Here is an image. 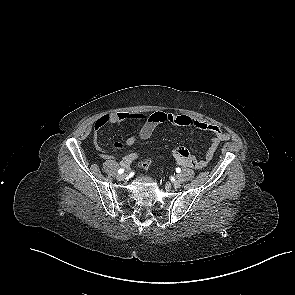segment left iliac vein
Listing matches in <instances>:
<instances>
[{
  "label": "left iliac vein",
  "instance_id": "4c4485c4",
  "mask_svg": "<svg viewBox=\"0 0 295 295\" xmlns=\"http://www.w3.org/2000/svg\"><path fill=\"white\" fill-rule=\"evenodd\" d=\"M172 184H173V186L175 187V188H179L180 186H181V180L177 177V179L176 180H174L173 182H172Z\"/></svg>",
  "mask_w": 295,
  "mask_h": 295
}]
</instances>
